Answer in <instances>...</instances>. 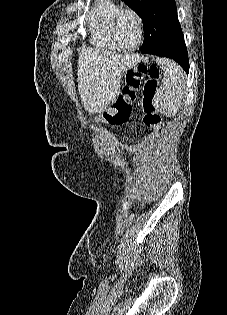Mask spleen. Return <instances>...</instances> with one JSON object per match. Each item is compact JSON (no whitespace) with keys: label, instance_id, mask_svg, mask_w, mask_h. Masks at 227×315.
I'll use <instances>...</instances> for the list:
<instances>
[{"label":"spleen","instance_id":"spleen-1","mask_svg":"<svg viewBox=\"0 0 227 315\" xmlns=\"http://www.w3.org/2000/svg\"><path fill=\"white\" fill-rule=\"evenodd\" d=\"M157 62L164 71V78L156 94V106L161 113L172 116L177 112V105L185 93L184 76L174 63L161 58Z\"/></svg>","mask_w":227,"mask_h":315}]
</instances>
